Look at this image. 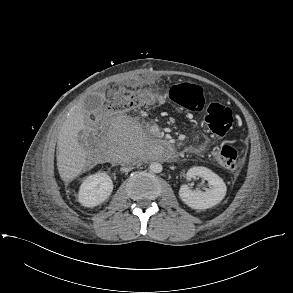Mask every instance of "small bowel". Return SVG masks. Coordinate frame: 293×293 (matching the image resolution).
Wrapping results in <instances>:
<instances>
[{
  "label": "small bowel",
  "instance_id": "obj_1",
  "mask_svg": "<svg viewBox=\"0 0 293 293\" xmlns=\"http://www.w3.org/2000/svg\"><path fill=\"white\" fill-rule=\"evenodd\" d=\"M152 83H153L152 78L147 77V78L141 79L139 81H134V82L129 83L128 87H135V86H137L139 84H145V85L150 86ZM156 102L158 104H164L166 102V98L164 96H162V95H158L157 98H156ZM208 144H209V141L206 139L204 142H202L199 145L189 146L188 151L193 152V153L202 152V151H204L206 149Z\"/></svg>",
  "mask_w": 293,
  "mask_h": 293
}]
</instances>
